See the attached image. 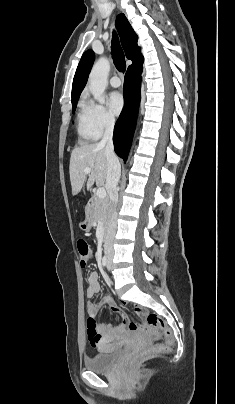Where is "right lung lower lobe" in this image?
I'll list each match as a JSON object with an SVG mask.
<instances>
[{
	"instance_id": "1",
	"label": "right lung lower lobe",
	"mask_w": 235,
	"mask_h": 404,
	"mask_svg": "<svg viewBox=\"0 0 235 404\" xmlns=\"http://www.w3.org/2000/svg\"><path fill=\"white\" fill-rule=\"evenodd\" d=\"M143 62L128 68L124 80V109L114 127L113 142L116 154L127 159L135 130L140 101Z\"/></svg>"
}]
</instances>
